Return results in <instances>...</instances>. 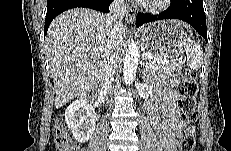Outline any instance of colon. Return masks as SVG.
Masks as SVG:
<instances>
[{"label":"colon","instance_id":"1","mask_svg":"<svg viewBox=\"0 0 231 151\" xmlns=\"http://www.w3.org/2000/svg\"><path fill=\"white\" fill-rule=\"evenodd\" d=\"M198 84L193 73L185 71L183 79L177 86L179 96L178 106L181 119L188 127L196 120V94ZM53 136L58 151H78V145L72 140L62 120H57L53 126ZM196 136L193 130L187 129L179 143V151H193Z\"/></svg>","mask_w":231,"mask_h":151}]
</instances>
